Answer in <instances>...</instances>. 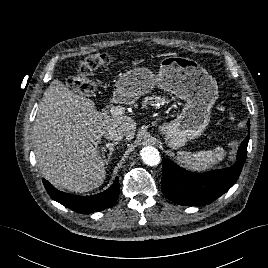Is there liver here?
Here are the masks:
<instances>
[{
  "label": "liver",
  "instance_id": "liver-1",
  "mask_svg": "<svg viewBox=\"0 0 268 268\" xmlns=\"http://www.w3.org/2000/svg\"><path fill=\"white\" fill-rule=\"evenodd\" d=\"M108 127L134 137L136 122L129 116L111 117L95 103L53 80L44 92L33 126L37 165L52 184L73 192H88L103 184L104 160L98 144Z\"/></svg>",
  "mask_w": 268,
  "mask_h": 268
}]
</instances>
